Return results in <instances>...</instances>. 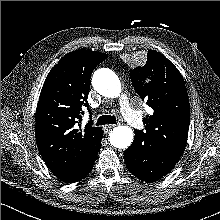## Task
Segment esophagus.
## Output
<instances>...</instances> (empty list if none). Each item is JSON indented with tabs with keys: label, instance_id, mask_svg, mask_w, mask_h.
Here are the masks:
<instances>
[{
	"label": "esophagus",
	"instance_id": "esophagus-1",
	"mask_svg": "<svg viewBox=\"0 0 220 220\" xmlns=\"http://www.w3.org/2000/svg\"><path fill=\"white\" fill-rule=\"evenodd\" d=\"M114 127H115V125H107V126L104 128V130H105L106 132H109V131L112 130Z\"/></svg>",
	"mask_w": 220,
	"mask_h": 220
}]
</instances>
